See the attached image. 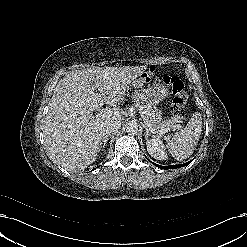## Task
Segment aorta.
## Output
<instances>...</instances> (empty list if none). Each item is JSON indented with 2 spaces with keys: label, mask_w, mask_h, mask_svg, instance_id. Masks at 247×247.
Instances as JSON below:
<instances>
[{
  "label": "aorta",
  "mask_w": 247,
  "mask_h": 247,
  "mask_svg": "<svg viewBox=\"0 0 247 247\" xmlns=\"http://www.w3.org/2000/svg\"><path fill=\"white\" fill-rule=\"evenodd\" d=\"M126 132L130 135H135L138 133V124L136 122H130L126 126Z\"/></svg>",
  "instance_id": "762f6f07"
}]
</instances>
